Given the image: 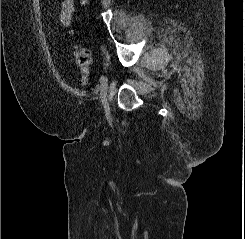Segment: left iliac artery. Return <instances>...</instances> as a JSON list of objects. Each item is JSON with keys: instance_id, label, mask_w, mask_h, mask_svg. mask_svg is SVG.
Returning <instances> with one entry per match:
<instances>
[{"instance_id": "1", "label": "left iliac artery", "mask_w": 245, "mask_h": 239, "mask_svg": "<svg viewBox=\"0 0 245 239\" xmlns=\"http://www.w3.org/2000/svg\"><path fill=\"white\" fill-rule=\"evenodd\" d=\"M104 80H105V76L104 75H102L101 77H100V86L103 84V82H104Z\"/></svg>"}]
</instances>
